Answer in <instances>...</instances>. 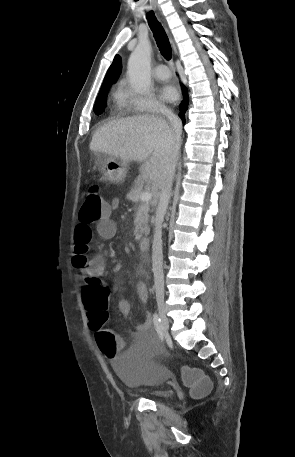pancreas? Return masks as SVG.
Wrapping results in <instances>:
<instances>
[{
	"mask_svg": "<svg viewBox=\"0 0 295 457\" xmlns=\"http://www.w3.org/2000/svg\"><path fill=\"white\" fill-rule=\"evenodd\" d=\"M144 192L143 185L136 184L134 185L130 192L127 194V198L133 203H138L140 201V196ZM151 203L142 202L136 212V217L134 219V235L137 239L141 238L143 234L149 232V206Z\"/></svg>",
	"mask_w": 295,
	"mask_h": 457,
	"instance_id": "cf45deb5",
	"label": "pancreas"
}]
</instances>
